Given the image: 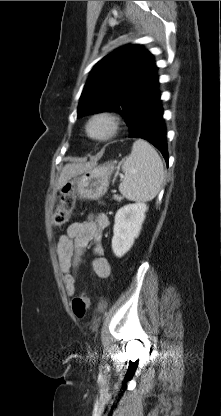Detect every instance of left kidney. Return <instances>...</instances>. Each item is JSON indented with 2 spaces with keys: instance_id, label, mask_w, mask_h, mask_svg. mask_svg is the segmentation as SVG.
<instances>
[{
  "instance_id": "obj_1",
  "label": "left kidney",
  "mask_w": 221,
  "mask_h": 416,
  "mask_svg": "<svg viewBox=\"0 0 221 416\" xmlns=\"http://www.w3.org/2000/svg\"><path fill=\"white\" fill-rule=\"evenodd\" d=\"M147 209L145 203H134L124 205L117 211L112 238V250L117 257L124 256L133 246L140 234Z\"/></svg>"
}]
</instances>
